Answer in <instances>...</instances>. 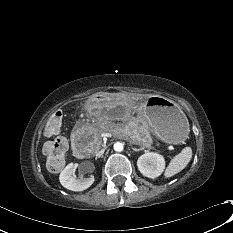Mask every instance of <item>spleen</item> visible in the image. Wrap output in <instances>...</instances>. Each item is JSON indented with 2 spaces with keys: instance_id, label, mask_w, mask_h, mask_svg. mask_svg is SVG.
<instances>
[{
  "instance_id": "3e777b00",
  "label": "spleen",
  "mask_w": 233,
  "mask_h": 233,
  "mask_svg": "<svg viewBox=\"0 0 233 233\" xmlns=\"http://www.w3.org/2000/svg\"><path fill=\"white\" fill-rule=\"evenodd\" d=\"M192 158V149L185 147L178 155H176L169 163L164 173L166 178L174 176L182 171Z\"/></svg>"
}]
</instances>
